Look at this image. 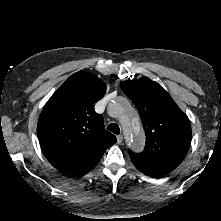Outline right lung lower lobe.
<instances>
[{"label": "right lung lower lobe", "mask_w": 221, "mask_h": 221, "mask_svg": "<svg viewBox=\"0 0 221 221\" xmlns=\"http://www.w3.org/2000/svg\"><path fill=\"white\" fill-rule=\"evenodd\" d=\"M102 155L103 153L82 158L77 161L59 166L56 169L69 176H83L97 165Z\"/></svg>", "instance_id": "1"}]
</instances>
